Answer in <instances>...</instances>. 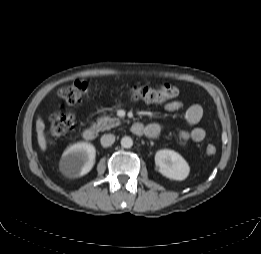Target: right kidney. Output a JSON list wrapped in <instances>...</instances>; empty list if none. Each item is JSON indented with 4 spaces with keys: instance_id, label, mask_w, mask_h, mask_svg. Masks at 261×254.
<instances>
[{
    "instance_id": "obj_1",
    "label": "right kidney",
    "mask_w": 261,
    "mask_h": 254,
    "mask_svg": "<svg viewBox=\"0 0 261 254\" xmlns=\"http://www.w3.org/2000/svg\"><path fill=\"white\" fill-rule=\"evenodd\" d=\"M95 156L96 150L92 144L86 142L73 144L62 156L61 171L70 178L83 176L94 166Z\"/></svg>"
}]
</instances>
